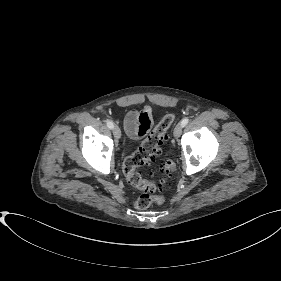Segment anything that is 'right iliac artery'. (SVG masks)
Masks as SVG:
<instances>
[{
	"label": "right iliac artery",
	"instance_id": "right-iliac-artery-1",
	"mask_svg": "<svg viewBox=\"0 0 281 281\" xmlns=\"http://www.w3.org/2000/svg\"><path fill=\"white\" fill-rule=\"evenodd\" d=\"M108 128L112 129L114 127V123L110 120L107 121Z\"/></svg>",
	"mask_w": 281,
	"mask_h": 281
}]
</instances>
